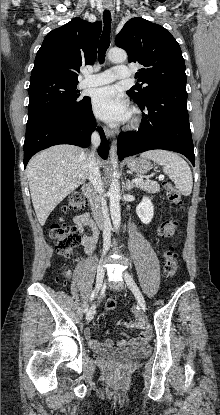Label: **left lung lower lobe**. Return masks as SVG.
Listing matches in <instances>:
<instances>
[{"instance_id": "left-lung-lower-lobe-1", "label": "left lung lower lobe", "mask_w": 220, "mask_h": 415, "mask_svg": "<svg viewBox=\"0 0 220 415\" xmlns=\"http://www.w3.org/2000/svg\"><path fill=\"white\" fill-rule=\"evenodd\" d=\"M186 102V85L157 88L144 102H136L143 111L142 124L137 132L119 134V159L147 150L165 149L185 155L194 166Z\"/></svg>"}]
</instances>
